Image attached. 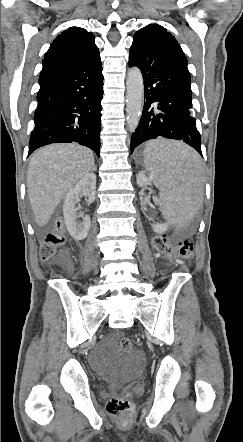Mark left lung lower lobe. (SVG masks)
Here are the masks:
<instances>
[{
    "instance_id": "1",
    "label": "left lung lower lobe",
    "mask_w": 243,
    "mask_h": 442,
    "mask_svg": "<svg viewBox=\"0 0 243 442\" xmlns=\"http://www.w3.org/2000/svg\"><path fill=\"white\" fill-rule=\"evenodd\" d=\"M129 66H137L144 79V108L131 138V153L141 143L155 138L183 140L200 155V134L191 116L192 91L184 55L133 40Z\"/></svg>"
}]
</instances>
